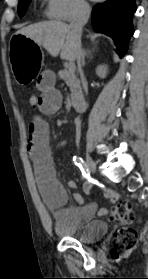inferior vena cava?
Listing matches in <instances>:
<instances>
[{"label":"inferior vena cava","mask_w":148,"mask_h":279,"mask_svg":"<svg viewBox=\"0 0 148 279\" xmlns=\"http://www.w3.org/2000/svg\"><path fill=\"white\" fill-rule=\"evenodd\" d=\"M91 10L90 6L83 3L78 5L76 12L70 22V30L74 37L76 38V59H77V65H78V70L81 76L82 84L84 87L85 92L87 93V86H86V81L84 74L81 69V34H82V28L83 26L87 23L89 16H90Z\"/></svg>","instance_id":"inferior-vena-cava-1"}]
</instances>
